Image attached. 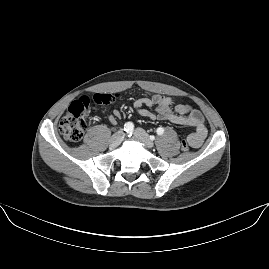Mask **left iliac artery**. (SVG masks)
<instances>
[{
  "label": "left iliac artery",
  "mask_w": 269,
  "mask_h": 269,
  "mask_svg": "<svg viewBox=\"0 0 269 269\" xmlns=\"http://www.w3.org/2000/svg\"><path fill=\"white\" fill-rule=\"evenodd\" d=\"M164 133V129L162 128V127H159L158 129H157V134L158 135H162Z\"/></svg>",
  "instance_id": "1"
}]
</instances>
